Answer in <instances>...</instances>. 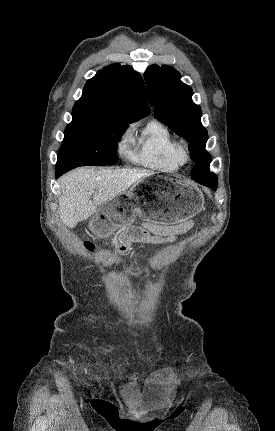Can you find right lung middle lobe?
Returning <instances> with one entry per match:
<instances>
[{
  "instance_id": "dd1d6c3e",
  "label": "right lung middle lobe",
  "mask_w": 275,
  "mask_h": 431,
  "mask_svg": "<svg viewBox=\"0 0 275 431\" xmlns=\"http://www.w3.org/2000/svg\"><path fill=\"white\" fill-rule=\"evenodd\" d=\"M127 126V122L111 117L73 118L65 129L56 169L115 164L118 141Z\"/></svg>"
}]
</instances>
